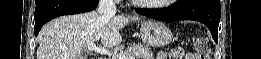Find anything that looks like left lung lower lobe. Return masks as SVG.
Wrapping results in <instances>:
<instances>
[{"label": "left lung lower lobe", "instance_id": "obj_1", "mask_svg": "<svg viewBox=\"0 0 261 59\" xmlns=\"http://www.w3.org/2000/svg\"><path fill=\"white\" fill-rule=\"evenodd\" d=\"M137 13L162 21L195 20L204 23L218 42L220 0H178L166 10L135 9Z\"/></svg>", "mask_w": 261, "mask_h": 59}]
</instances>
